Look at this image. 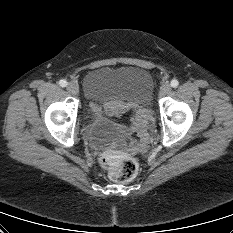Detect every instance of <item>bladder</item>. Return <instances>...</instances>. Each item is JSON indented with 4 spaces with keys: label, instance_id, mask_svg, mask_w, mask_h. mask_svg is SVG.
<instances>
[{
    "label": "bladder",
    "instance_id": "1",
    "mask_svg": "<svg viewBox=\"0 0 233 233\" xmlns=\"http://www.w3.org/2000/svg\"><path fill=\"white\" fill-rule=\"evenodd\" d=\"M83 89L87 101L100 109L108 106L119 111L147 108L154 91V80L150 72L141 67H101L84 76Z\"/></svg>",
    "mask_w": 233,
    "mask_h": 233
}]
</instances>
